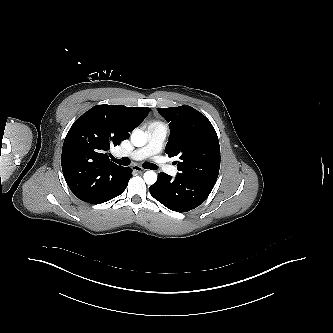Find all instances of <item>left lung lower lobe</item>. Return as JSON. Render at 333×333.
I'll return each mask as SVG.
<instances>
[{"label":"left lung lower lobe","mask_w":333,"mask_h":333,"mask_svg":"<svg viewBox=\"0 0 333 333\" xmlns=\"http://www.w3.org/2000/svg\"><path fill=\"white\" fill-rule=\"evenodd\" d=\"M214 185L200 181L175 178L159 173L158 180L150 186V194L165 207L176 212H187L201 205L209 196Z\"/></svg>","instance_id":"obj_1"}]
</instances>
